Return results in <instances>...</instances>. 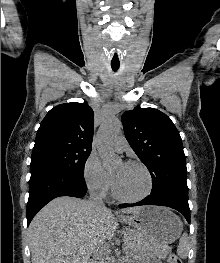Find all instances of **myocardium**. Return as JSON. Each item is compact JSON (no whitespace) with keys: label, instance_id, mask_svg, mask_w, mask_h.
I'll list each match as a JSON object with an SVG mask.
<instances>
[{"label":"myocardium","instance_id":"myocardium-1","mask_svg":"<svg viewBox=\"0 0 220 263\" xmlns=\"http://www.w3.org/2000/svg\"><path fill=\"white\" fill-rule=\"evenodd\" d=\"M125 164L136 165V166L141 167L144 170V172L146 173L147 178H148L147 190L142 195L137 196V197H125V196L121 195L118 192V190L116 188V185H115V181H114L113 175H111V187H112L113 196L116 199H118V200H120L122 202H125V203H137V202H140V201L146 199L152 192V189H153V176H152V173L149 170V168L144 163H142L140 161L129 160V161L125 162Z\"/></svg>","mask_w":220,"mask_h":263}]
</instances>
